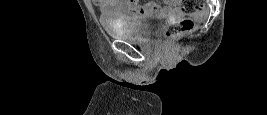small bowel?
<instances>
[{
	"mask_svg": "<svg viewBox=\"0 0 267 115\" xmlns=\"http://www.w3.org/2000/svg\"><path fill=\"white\" fill-rule=\"evenodd\" d=\"M94 3L102 12L116 11L126 20H136L149 13L169 16L178 12V2L171 0L165 1L164 6L156 2L140 4L137 0H95Z\"/></svg>",
	"mask_w": 267,
	"mask_h": 115,
	"instance_id": "small-bowel-1",
	"label": "small bowel"
}]
</instances>
